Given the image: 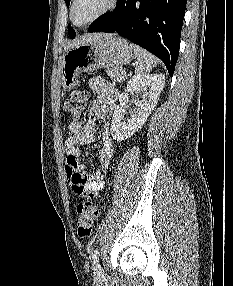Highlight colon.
Returning <instances> with one entry per match:
<instances>
[{
    "label": "colon",
    "instance_id": "colon-1",
    "mask_svg": "<svg viewBox=\"0 0 233 286\" xmlns=\"http://www.w3.org/2000/svg\"><path fill=\"white\" fill-rule=\"evenodd\" d=\"M85 91H75L64 101L63 109L67 115L77 120L81 117L87 102ZM100 213V206L90 201L77 206V232L81 238L88 237L93 230L94 222Z\"/></svg>",
    "mask_w": 233,
    "mask_h": 286
}]
</instances>
